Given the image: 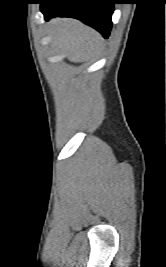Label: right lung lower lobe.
Returning a JSON list of instances; mask_svg holds the SVG:
<instances>
[{
	"instance_id": "obj_1",
	"label": "right lung lower lobe",
	"mask_w": 166,
	"mask_h": 267,
	"mask_svg": "<svg viewBox=\"0 0 166 267\" xmlns=\"http://www.w3.org/2000/svg\"><path fill=\"white\" fill-rule=\"evenodd\" d=\"M114 0H43L45 20L55 16L77 18L108 38L112 27Z\"/></svg>"
}]
</instances>
